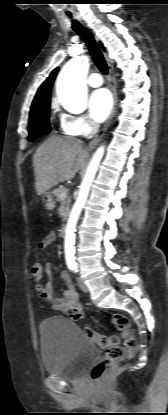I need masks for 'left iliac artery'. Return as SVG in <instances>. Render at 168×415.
<instances>
[{"instance_id": "obj_1", "label": "left iliac artery", "mask_w": 168, "mask_h": 415, "mask_svg": "<svg viewBox=\"0 0 168 415\" xmlns=\"http://www.w3.org/2000/svg\"><path fill=\"white\" fill-rule=\"evenodd\" d=\"M72 269H73L75 272H77V271H78L76 266L72 267Z\"/></svg>"}]
</instances>
